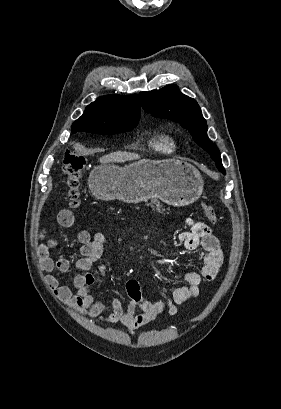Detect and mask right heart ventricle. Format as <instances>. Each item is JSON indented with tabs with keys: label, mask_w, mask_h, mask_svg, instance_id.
<instances>
[{
	"label": "right heart ventricle",
	"mask_w": 281,
	"mask_h": 409,
	"mask_svg": "<svg viewBox=\"0 0 281 409\" xmlns=\"http://www.w3.org/2000/svg\"><path fill=\"white\" fill-rule=\"evenodd\" d=\"M175 145L172 141H166L164 144V148H166L167 150H172L174 149Z\"/></svg>",
	"instance_id": "right-heart-ventricle-1"
}]
</instances>
